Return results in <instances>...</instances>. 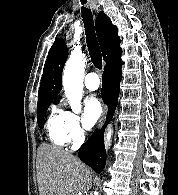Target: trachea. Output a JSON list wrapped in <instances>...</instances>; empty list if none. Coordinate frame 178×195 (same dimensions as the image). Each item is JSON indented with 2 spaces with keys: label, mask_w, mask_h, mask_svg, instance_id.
Here are the masks:
<instances>
[{
  "label": "trachea",
  "mask_w": 178,
  "mask_h": 195,
  "mask_svg": "<svg viewBox=\"0 0 178 195\" xmlns=\"http://www.w3.org/2000/svg\"><path fill=\"white\" fill-rule=\"evenodd\" d=\"M86 2L87 0H81L82 4H85ZM81 13L85 27L86 43L91 61L97 69L101 70L102 54L95 34L92 12L90 9L82 7Z\"/></svg>",
  "instance_id": "3493384b"
}]
</instances>
